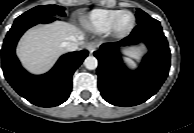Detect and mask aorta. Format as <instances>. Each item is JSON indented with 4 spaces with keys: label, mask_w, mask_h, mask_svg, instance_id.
Segmentation results:
<instances>
[{
    "label": "aorta",
    "mask_w": 194,
    "mask_h": 133,
    "mask_svg": "<svg viewBox=\"0 0 194 133\" xmlns=\"http://www.w3.org/2000/svg\"><path fill=\"white\" fill-rule=\"evenodd\" d=\"M84 66L89 69V70H94L97 68L98 66V60L96 57L94 56H88L85 60H84Z\"/></svg>",
    "instance_id": "obj_1"
}]
</instances>
